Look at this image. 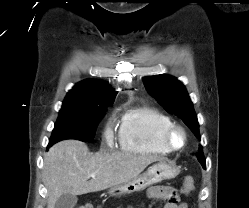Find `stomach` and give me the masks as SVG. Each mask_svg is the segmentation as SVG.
<instances>
[{
  "label": "stomach",
  "instance_id": "1",
  "mask_svg": "<svg viewBox=\"0 0 249 208\" xmlns=\"http://www.w3.org/2000/svg\"><path fill=\"white\" fill-rule=\"evenodd\" d=\"M178 173V168L173 167L164 161H160L150 166L147 171L135 179L111 188L109 193L111 196H121L140 192L153 184L159 183L163 180L175 178Z\"/></svg>",
  "mask_w": 249,
  "mask_h": 208
}]
</instances>
